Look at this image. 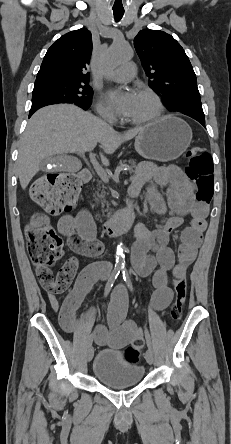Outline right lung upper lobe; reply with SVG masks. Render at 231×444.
Segmentation results:
<instances>
[{
    "label": "right lung upper lobe",
    "mask_w": 231,
    "mask_h": 444,
    "mask_svg": "<svg viewBox=\"0 0 231 444\" xmlns=\"http://www.w3.org/2000/svg\"><path fill=\"white\" fill-rule=\"evenodd\" d=\"M92 36L81 28L61 36L47 51L35 86L51 83L88 84Z\"/></svg>",
    "instance_id": "obj_1"
}]
</instances>
